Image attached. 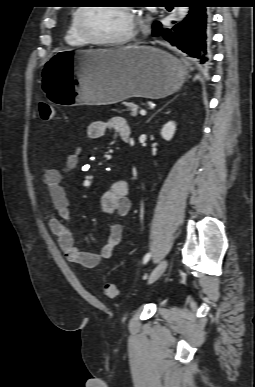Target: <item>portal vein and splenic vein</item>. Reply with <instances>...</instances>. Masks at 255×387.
Segmentation results:
<instances>
[{"label":"portal vein and splenic vein","mask_w":255,"mask_h":387,"mask_svg":"<svg viewBox=\"0 0 255 387\" xmlns=\"http://www.w3.org/2000/svg\"><path fill=\"white\" fill-rule=\"evenodd\" d=\"M140 114L142 115V116H145L146 115V111L145 110H140Z\"/></svg>","instance_id":"portal-vein-and-splenic-vein-1"}]
</instances>
